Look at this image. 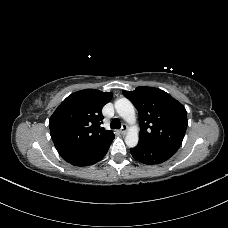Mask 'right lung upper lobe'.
I'll use <instances>...</instances> for the list:
<instances>
[{"label":"right lung upper lobe","instance_id":"right-lung-upper-lobe-1","mask_svg":"<svg viewBox=\"0 0 228 228\" xmlns=\"http://www.w3.org/2000/svg\"><path fill=\"white\" fill-rule=\"evenodd\" d=\"M112 99L111 92L85 89L69 95L49 120L50 134L61 156L87 150L114 137L100 125L101 110Z\"/></svg>","mask_w":228,"mask_h":228}]
</instances>
